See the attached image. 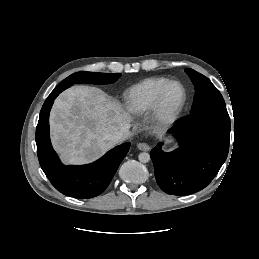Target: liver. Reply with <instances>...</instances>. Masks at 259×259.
Wrapping results in <instances>:
<instances>
[{"mask_svg":"<svg viewBox=\"0 0 259 259\" xmlns=\"http://www.w3.org/2000/svg\"><path fill=\"white\" fill-rule=\"evenodd\" d=\"M132 117L96 87L74 86L62 92L50 114L51 140L62 161L86 164L114 144L107 136L130 128Z\"/></svg>","mask_w":259,"mask_h":259,"instance_id":"1","label":"liver"}]
</instances>
